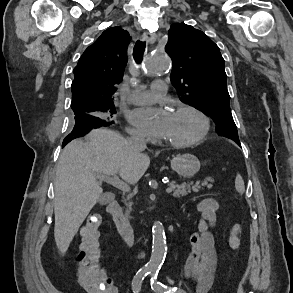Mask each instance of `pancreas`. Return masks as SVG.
<instances>
[{
    "label": "pancreas",
    "mask_w": 293,
    "mask_h": 293,
    "mask_svg": "<svg viewBox=\"0 0 293 293\" xmlns=\"http://www.w3.org/2000/svg\"><path fill=\"white\" fill-rule=\"evenodd\" d=\"M209 179L205 180L204 182H202L200 184V181H196L195 184H193V182H184L182 184H176V182L172 181L169 185L170 187L173 189V193H172V196L175 197V198H179L180 196H186L187 194H189L191 191L197 193L199 192V190L205 186L207 187H211L212 185L209 184ZM126 205V210H125V216L127 218H130V211L132 210L131 209V206H132V202H129V203H125Z\"/></svg>",
    "instance_id": "obj_1"
}]
</instances>
